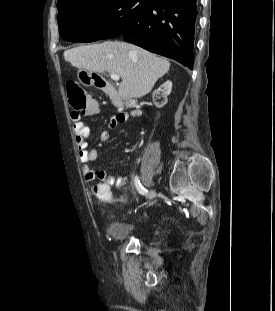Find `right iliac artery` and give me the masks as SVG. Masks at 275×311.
<instances>
[{
    "label": "right iliac artery",
    "mask_w": 275,
    "mask_h": 311,
    "mask_svg": "<svg viewBox=\"0 0 275 311\" xmlns=\"http://www.w3.org/2000/svg\"><path fill=\"white\" fill-rule=\"evenodd\" d=\"M134 185L137 189V191L142 194V195H147L148 194V190H146L142 184L140 183V180H139V177L138 176H135L134 177Z\"/></svg>",
    "instance_id": "obj_1"
}]
</instances>
